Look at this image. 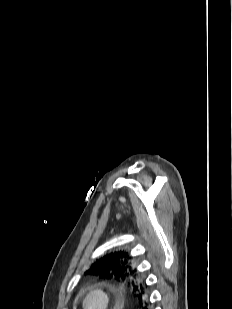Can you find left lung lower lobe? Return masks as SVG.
Listing matches in <instances>:
<instances>
[{
	"label": "left lung lower lobe",
	"mask_w": 232,
	"mask_h": 309,
	"mask_svg": "<svg viewBox=\"0 0 232 309\" xmlns=\"http://www.w3.org/2000/svg\"><path fill=\"white\" fill-rule=\"evenodd\" d=\"M139 307H140L141 309H148V307H149V302H142V303L139 304Z\"/></svg>",
	"instance_id": "obj_1"
}]
</instances>
